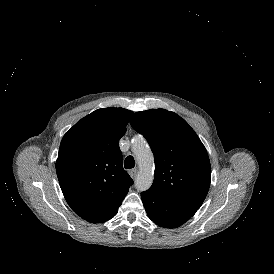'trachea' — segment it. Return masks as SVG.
Masks as SVG:
<instances>
[{
  "mask_svg": "<svg viewBox=\"0 0 274 274\" xmlns=\"http://www.w3.org/2000/svg\"><path fill=\"white\" fill-rule=\"evenodd\" d=\"M135 166V160L132 156H128L126 157L125 161H124V167L126 169H131Z\"/></svg>",
  "mask_w": 274,
  "mask_h": 274,
  "instance_id": "3493384b",
  "label": "trachea"
}]
</instances>
